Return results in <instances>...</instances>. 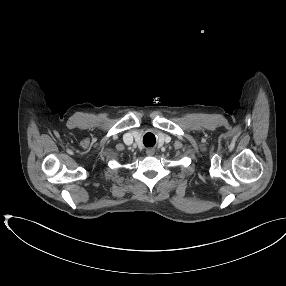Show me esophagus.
<instances>
[{
  "label": "esophagus",
  "instance_id": "esophagus-1",
  "mask_svg": "<svg viewBox=\"0 0 286 286\" xmlns=\"http://www.w3.org/2000/svg\"><path fill=\"white\" fill-rule=\"evenodd\" d=\"M154 153H155V149H154V148H148V149L146 150V154H147L148 156H152V155H154Z\"/></svg>",
  "mask_w": 286,
  "mask_h": 286
}]
</instances>
